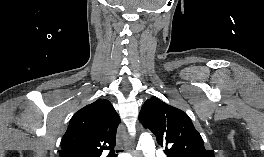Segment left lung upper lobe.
<instances>
[{"label": "left lung upper lobe", "mask_w": 264, "mask_h": 157, "mask_svg": "<svg viewBox=\"0 0 264 157\" xmlns=\"http://www.w3.org/2000/svg\"><path fill=\"white\" fill-rule=\"evenodd\" d=\"M139 120L165 147L167 157H214L212 150L205 149L188 115L158 98H150L143 104Z\"/></svg>", "instance_id": "obj_1"}]
</instances>
